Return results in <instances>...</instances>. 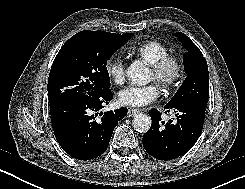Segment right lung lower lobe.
<instances>
[{
    "instance_id": "right-lung-lower-lobe-1",
    "label": "right lung lower lobe",
    "mask_w": 245,
    "mask_h": 189,
    "mask_svg": "<svg viewBox=\"0 0 245 189\" xmlns=\"http://www.w3.org/2000/svg\"><path fill=\"white\" fill-rule=\"evenodd\" d=\"M112 98L109 88H100L91 96L50 103L55 137L68 155L91 160L106 151L114 127L127 114V108L100 111Z\"/></svg>"
}]
</instances>
